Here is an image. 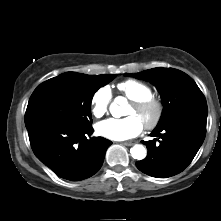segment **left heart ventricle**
<instances>
[{
	"mask_svg": "<svg viewBox=\"0 0 221 221\" xmlns=\"http://www.w3.org/2000/svg\"><path fill=\"white\" fill-rule=\"evenodd\" d=\"M127 115L138 117L140 121L144 124L152 118L153 112L151 110L138 111L131 105L127 112Z\"/></svg>",
	"mask_w": 221,
	"mask_h": 221,
	"instance_id": "obj_1",
	"label": "left heart ventricle"
}]
</instances>
